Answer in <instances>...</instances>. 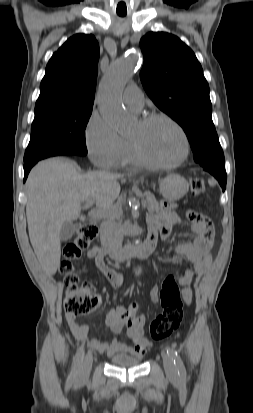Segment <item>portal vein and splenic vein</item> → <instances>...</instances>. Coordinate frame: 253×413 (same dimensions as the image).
<instances>
[{"mask_svg": "<svg viewBox=\"0 0 253 413\" xmlns=\"http://www.w3.org/2000/svg\"><path fill=\"white\" fill-rule=\"evenodd\" d=\"M92 205H93V201L91 199H87L86 204H85V208H89ZM142 205L145 206V204H143V203H142Z\"/></svg>", "mask_w": 253, "mask_h": 413, "instance_id": "obj_1", "label": "portal vein and splenic vein"}]
</instances>
